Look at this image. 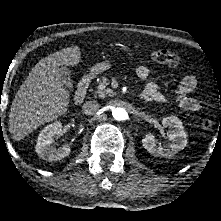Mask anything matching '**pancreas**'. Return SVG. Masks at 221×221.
<instances>
[{
    "label": "pancreas",
    "instance_id": "1",
    "mask_svg": "<svg viewBox=\"0 0 221 221\" xmlns=\"http://www.w3.org/2000/svg\"><path fill=\"white\" fill-rule=\"evenodd\" d=\"M107 85H108V79L106 77H103L99 85L97 86L95 93L101 98H104L107 95L113 96L114 95L113 90L110 88H107L106 87Z\"/></svg>",
    "mask_w": 221,
    "mask_h": 221
}]
</instances>
